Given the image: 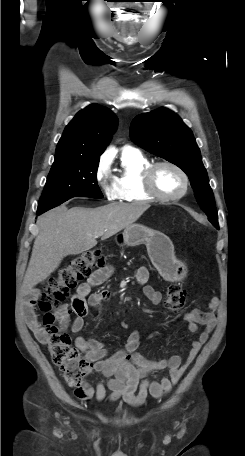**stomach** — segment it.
I'll use <instances>...</instances> for the list:
<instances>
[{
    "mask_svg": "<svg viewBox=\"0 0 245 456\" xmlns=\"http://www.w3.org/2000/svg\"><path fill=\"white\" fill-rule=\"evenodd\" d=\"M115 240L120 246L145 244L151 262L166 280L183 278L184 263L176 258L171 241L163 233L141 224H132Z\"/></svg>",
    "mask_w": 245,
    "mask_h": 456,
    "instance_id": "obj_1",
    "label": "stomach"
}]
</instances>
